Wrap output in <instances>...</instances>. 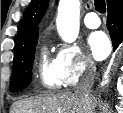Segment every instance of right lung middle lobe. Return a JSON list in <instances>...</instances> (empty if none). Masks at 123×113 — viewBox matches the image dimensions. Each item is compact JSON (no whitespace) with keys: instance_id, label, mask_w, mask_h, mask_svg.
<instances>
[{"instance_id":"dd1d6c3e","label":"right lung middle lobe","mask_w":123,"mask_h":113,"mask_svg":"<svg viewBox=\"0 0 123 113\" xmlns=\"http://www.w3.org/2000/svg\"><path fill=\"white\" fill-rule=\"evenodd\" d=\"M37 40L38 35L15 48L10 91H20L30 84Z\"/></svg>"}]
</instances>
